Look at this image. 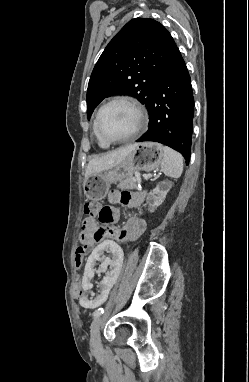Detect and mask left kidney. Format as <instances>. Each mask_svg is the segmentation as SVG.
I'll return each mask as SVG.
<instances>
[{
	"label": "left kidney",
	"instance_id": "obj_1",
	"mask_svg": "<svg viewBox=\"0 0 249 382\" xmlns=\"http://www.w3.org/2000/svg\"><path fill=\"white\" fill-rule=\"evenodd\" d=\"M172 186L171 181L165 180L155 189H150L147 201L150 207L161 205ZM123 256V246L117 245L116 240H101L100 245L95 246L86 261V270L82 273L81 294L78 297L81 309L105 307V298L111 293V287L118 285L115 277L121 273ZM100 277H104L103 280Z\"/></svg>",
	"mask_w": 249,
	"mask_h": 382
}]
</instances>
